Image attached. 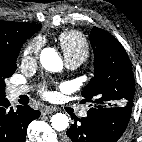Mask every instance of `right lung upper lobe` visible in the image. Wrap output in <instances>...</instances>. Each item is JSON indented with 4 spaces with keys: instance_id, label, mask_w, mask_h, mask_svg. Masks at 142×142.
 <instances>
[{
    "instance_id": "right-lung-upper-lobe-1",
    "label": "right lung upper lobe",
    "mask_w": 142,
    "mask_h": 142,
    "mask_svg": "<svg viewBox=\"0 0 142 142\" xmlns=\"http://www.w3.org/2000/svg\"><path fill=\"white\" fill-rule=\"evenodd\" d=\"M40 29V24L0 21V52L15 44L25 42Z\"/></svg>"
}]
</instances>
